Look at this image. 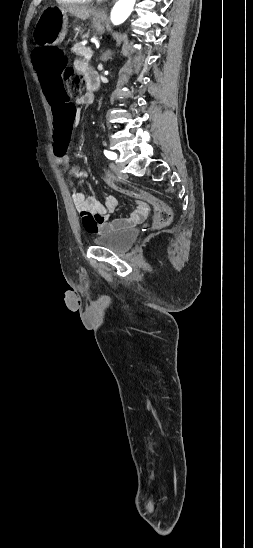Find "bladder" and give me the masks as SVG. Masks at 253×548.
Segmentation results:
<instances>
[{
	"mask_svg": "<svg viewBox=\"0 0 253 548\" xmlns=\"http://www.w3.org/2000/svg\"><path fill=\"white\" fill-rule=\"evenodd\" d=\"M139 235V229L131 228L97 235L92 242L95 246L106 247L115 252H125L133 245Z\"/></svg>",
	"mask_w": 253,
	"mask_h": 548,
	"instance_id": "31cf9c89",
	"label": "bladder"
}]
</instances>
